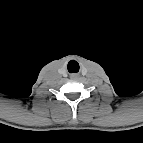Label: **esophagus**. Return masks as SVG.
Listing matches in <instances>:
<instances>
[{
    "label": "esophagus",
    "mask_w": 143,
    "mask_h": 143,
    "mask_svg": "<svg viewBox=\"0 0 143 143\" xmlns=\"http://www.w3.org/2000/svg\"><path fill=\"white\" fill-rule=\"evenodd\" d=\"M76 75L74 74V75H72V77H75Z\"/></svg>",
    "instance_id": "34e87169"
}]
</instances>
